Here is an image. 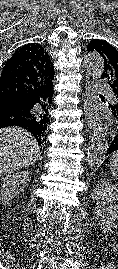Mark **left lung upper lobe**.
I'll return each mask as SVG.
<instances>
[{
  "instance_id": "1",
  "label": "left lung upper lobe",
  "mask_w": 118,
  "mask_h": 269,
  "mask_svg": "<svg viewBox=\"0 0 118 269\" xmlns=\"http://www.w3.org/2000/svg\"><path fill=\"white\" fill-rule=\"evenodd\" d=\"M88 52H98L104 59V72L101 77L109 79L114 95L116 96V104L110 107L118 106V51L109 43L93 39L87 46Z\"/></svg>"
}]
</instances>
